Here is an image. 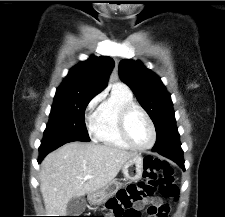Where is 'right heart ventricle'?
<instances>
[{"instance_id": "1", "label": "right heart ventricle", "mask_w": 225, "mask_h": 217, "mask_svg": "<svg viewBox=\"0 0 225 217\" xmlns=\"http://www.w3.org/2000/svg\"><path fill=\"white\" fill-rule=\"evenodd\" d=\"M134 102L133 93L127 87L114 85L96 113L95 137L103 145L121 150L130 147L123 141L118 125L119 112L126 104Z\"/></svg>"}]
</instances>
